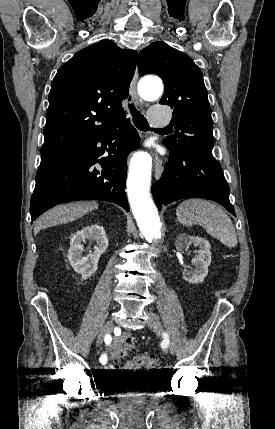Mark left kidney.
<instances>
[{
	"mask_svg": "<svg viewBox=\"0 0 275 429\" xmlns=\"http://www.w3.org/2000/svg\"><path fill=\"white\" fill-rule=\"evenodd\" d=\"M176 249L182 251L190 245L198 246V256L192 259L194 270H183V279L189 283H201L208 274V267L211 263L210 244L204 238L180 234L175 240Z\"/></svg>",
	"mask_w": 275,
	"mask_h": 429,
	"instance_id": "obj_1",
	"label": "left kidney"
}]
</instances>
